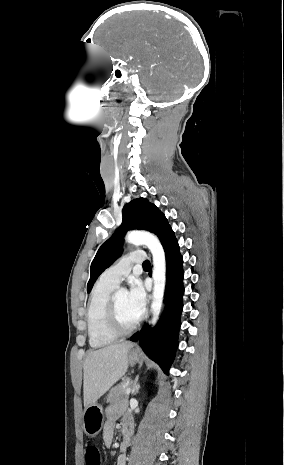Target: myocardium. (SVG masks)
<instances>
[{"label":"myocardium","instance_id":"myocardium-1","mask_svg":"<svg viewBox=\"0 0 284 465\" xmlns=\"http://www.w3.org/2000/svg\"><path fill=\"white\" fill-rule=\"evenodd\" d=\"M115 296L116 295H112L109 298L106 328L108 332L115 338H126L131 336L137 330L143 319V316L140 315L137 322L129 329H122L119 325L120 317Z\"/></svg>","mask_w":284,"mask_h":465}]
</instances>
